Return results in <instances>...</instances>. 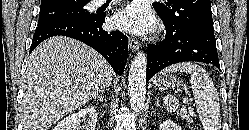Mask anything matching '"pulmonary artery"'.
Segmentation results:
<instances>
[{
    "label": "pulmonary artery",
    "instance_id": "1",
    "mask_svg": "<svg viewBox=\"0 0 249 130\" xmlns=\"http://www.w3.org/2000/svg\"><path fill=\"white\" fill-rule=\"evenodd\" d=\"M117 1H120V0H111V3H116ZM106 2V0H95V5L97 7L103 5L104 3Z\"/></svg>",
    "mask_w": 249,
    "mask_h": 130
}]
</instances>
